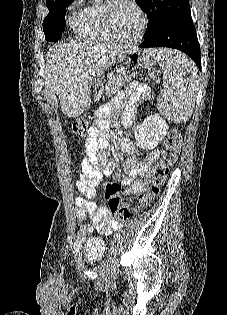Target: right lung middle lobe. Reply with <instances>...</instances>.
I'll return each mask as SVG.
<instances>
[{
	"instance_id": "obj_1",
	"label": "right lung middle lobe",
	"mask_w": 227,
	"mask_h": 315,
	"mask_svg": "<svg viewBox=\"0 0 227 315\" xmlns=\"http://www.w3.org/2000/svg\"><path fill=\"white\" fill-rule=\"evenodd\" d=\"M73 0H48L49 14L43 21V31L47 41L57 42L65 28L66 7Z\"/></svg>"
}]
</instances>
